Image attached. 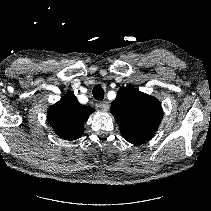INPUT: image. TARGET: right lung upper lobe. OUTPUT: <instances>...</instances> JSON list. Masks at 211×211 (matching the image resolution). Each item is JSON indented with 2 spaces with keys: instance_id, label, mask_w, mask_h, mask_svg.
Instances as JSON below:
<instances>
[{
  "instance_id": "1",
  "label": "right lung upper lobe",
  "mask_w": 211,
  "mask_h": 211,
  "mask_svg": "<svg viewBox=\"0 0 211 211\" xmlns=\"http://www.w3.org/2000/svg\"><path fill=\"white\" fill-rule=\"evenodd\" d=\"M94 110L81 105L77 98L68 93L48 109V122L57 135L65 140H76L83 134V124Z\"/></svg>"
}]
</instances>
